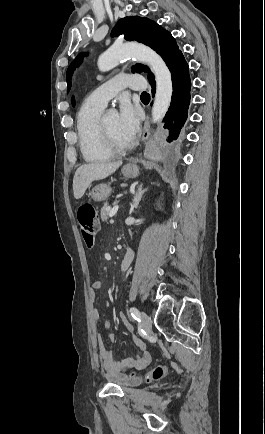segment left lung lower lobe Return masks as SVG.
I'll return each mask as SVG.
<instances>
[{"mask_svg": "<svg viewBox=\"0 0 265 434\" xmlns=\"http://www.w3.org/2000/svg\"><path fill=\"white\" fill-rule=\"evenodd\" d=\"M173 83V94L171 105L163 119L164 128L169 129L167 142L169 146L165 147L177 149L181 147L187 136L185 122L188 117V107L190 104L191 81L189 67L183 56L180 54L170 67ZM155 85H152V94L154 96Z\"/></svg>", "mask_w": 265, "mask_h": 434, "instance_id": "1", "label": "left lung lower lobe"}]
</instances>
